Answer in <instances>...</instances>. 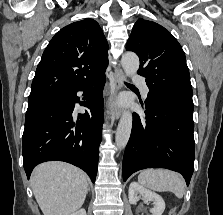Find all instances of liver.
Wrapping results in <instances>:
<instances>
[{
  "label": "liver",
  "mask_w": 223,
  "mask_h": 215,
  "mask_svg": "<svg viewBox=\"0 0 223 215\" xmlns=\"http://www.w3.org/2000/svg\"><path fill=\"white\" fill-rule=\"evenodd\" d=\"M31 187L44 215H70L84 203L86 173L64 161H46L35 167Z\"/></svg>",
  "instance_id": "liver-1"
}]
</instances>
